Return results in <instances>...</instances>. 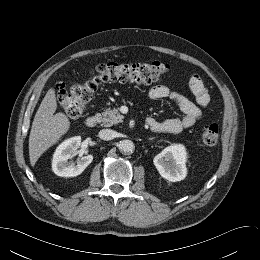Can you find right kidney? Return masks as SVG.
Segmentation results:
<instances>
[{
    "label": "right kidney",
    "instance_id": "ca27d5eb",
    "mask_svg": "<svg viewBox=\"0 0 260 260\" xmlns=\"http://www.w3.org/2000/svg\"><path fill=\"white\" fill-rule=\"evenodd\" d=\"M81 144V137L75 136L62 142L56 149L53 160L52 170L61 177H75L80 175L92 162L93 156H83L77 164L69 162Z\"/></svg>",
    "mask_w": 260,
    "mask_h": 260
}]
</instances>
